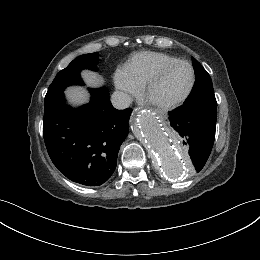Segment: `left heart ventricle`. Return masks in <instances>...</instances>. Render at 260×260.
Returning a JSON list of instances; mask_svg holds the SVG:
<instances>
[{"instance_id":"obj_1","label":"left heart ventricle","mask_w":260,"mask_h":260,"mask_svg":"<svg viewBox=\"0 0 260 260\" xmlns=\"http://www.w3.org/2000/svg\"><path fill=\"white\" fill-rule=\"evenodd\" d=\"M191 69L181 64L171 69L164 78L153 88L151 99L154 102H170L181 97L190 85Z\"/></svg>"}]
</instances>
